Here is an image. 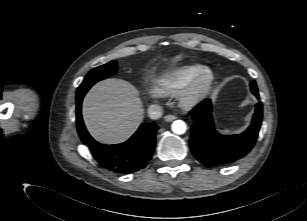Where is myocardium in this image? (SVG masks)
<instances>
[{
	"label": "myocardium",
	"instance_id": "myocardium-1",
	"mask_svg": "<svg viewBox=\"0 0 307 221\" xmlns=\"http://www.w3.org/2000/svg\"><path fill=\"white\" fill-rule=\"evenodd\" d=\"M215 76L210 68L205 67L180 94V104L190 108L201 102L211 91Z\"/></svg>",
	"mask_w": 307,
	"mask_h": 221
}]
</instances>
